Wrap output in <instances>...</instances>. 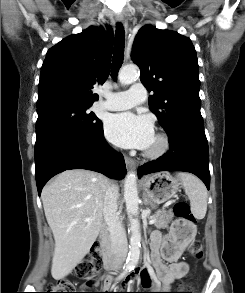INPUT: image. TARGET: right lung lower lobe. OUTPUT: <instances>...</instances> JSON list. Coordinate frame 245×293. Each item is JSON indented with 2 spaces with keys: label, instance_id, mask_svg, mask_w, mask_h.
<instances>
[{
  "label": "right lung lower lobe",
  "instance_id": "1",
  "mask_svg": "<svg viewBox=\"0 0 245 293\" xmlns=\"http://www.w3.org/2000/svg\"><path fill=\"white\" fill-rule=\"evenodd\" d=\"M70 169H87L110 178L123 179L124 158L104 139L103 126L89 134L54 139L35 152V176L38 194L56 174Z\"/></svg>",
  "mask_w": 245,
  "mask_h": 293
}]
</instances>
